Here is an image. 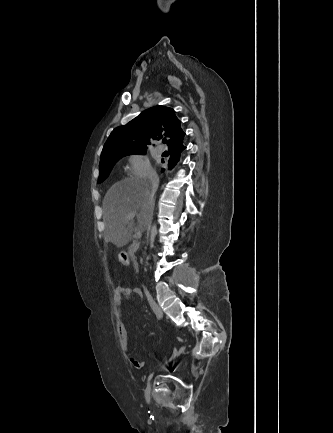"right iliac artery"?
<instances>
[{"label": "right iliac artery", "instance_id": "82829eb1", "mask_svg": "<svg viewBox=\"0 0 333 433\" xmlns=\"http://www.w3.org/2000/svg\"><path fill=\"white\" fill-rule=\"evenodd\" d=\"M183 350H184V348H181V349H180V352H182ZM176 355H177V349L174 348V349H173L172 356H171V358L169 359V361H171L174 357H176ZM166 363H167V362H166ZM153 374H154V373H151V374L149 375V377H148V379H147V382H148V383H149V381L152 379ZM145 399H146V401H147L148 403L150 402V389H148V388H146V390H145Z\"/></svg>", "mask_w": 333, "mask_h": 433}]
</instances>
